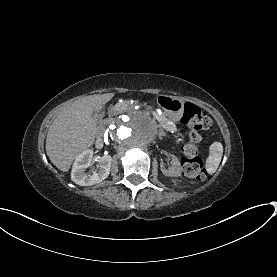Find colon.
Masks as SVG:
<instances>
[{
  "label": "colon",
  "instance_id": "1",
  "mask_svg": "<svg viewBox=\"0 0 277 277\" xmlns=\"http://www.w3.org/2000/svg\"><path fill=\"white\" fill-rule=\"evenodd\" d=\"M181 123L184 127L191 129L189 142L181 146L183 173L191 179L203 180L206 176V169L203 159L199 156L196 143L199 139L198 132L211 128V119L200 107L187 103L184 106Z\"/></svg>",
  "mask_w": 277,
  "mask_h": 277
}]
</instances>
